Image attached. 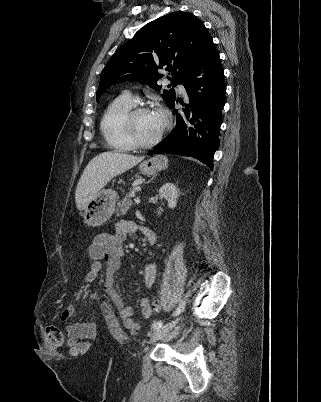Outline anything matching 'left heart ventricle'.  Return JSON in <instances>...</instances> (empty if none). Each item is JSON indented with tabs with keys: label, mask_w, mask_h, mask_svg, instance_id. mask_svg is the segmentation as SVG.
I'll use <instances>...</instances> for the list:
<instances>
[{
	"label": "left heart ventricle",
	"mask_w": 321,
	"mask_h": 402,
	"mask_svg": "<svg viewBox=\"0 0 321 402\" xmlns=\"http://www.w3.org/2000/svg\"><path fill=\"white\" fill-rule=\"evenodd\" d=\"M163 124V116L157 115L154 111L141 112L134 118L135 133L143 142L152 140Z\"/></svg>",
	"instance_id": "obj_1"
}]
</instances>
